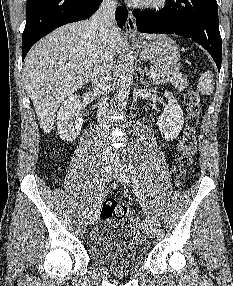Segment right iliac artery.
I'll return each mask as SVG.
<instances>
[{"mask_svg":"<svg viewBox=\"0 0 233 286\" xmlns=\"http://www.w3.org/2000/svg\"><path fill=\"white\" fill-rule=\"evenodd\" d=\"M106 186L103 184L102 186L100 185V189L99 192L97 193L95 199H94V205L99 203L101 196H102V192L105 190Z\"/></svg>","mask_w":233,"mask_h":286,"instance_id":"right-iliac-artery-1","label":"right iliac artery"}]
</instances>
